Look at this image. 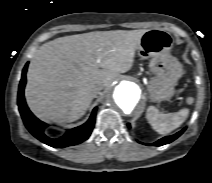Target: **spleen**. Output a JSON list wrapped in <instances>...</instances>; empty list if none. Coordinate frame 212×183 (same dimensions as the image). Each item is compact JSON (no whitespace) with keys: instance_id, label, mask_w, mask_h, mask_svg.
Instances as JSON below:
<instances>
[{"instance_id":"3e777b00","label":"spleen","mask_w":212,"mask_h":183,"mask_svg":"<svg viewBox=\"0 0 212 183\" xmlns=\"http://www.w3.org/2000/svg\"><path fill=\"white\" fill-rule=\"evenodd\" d=\"M189 115V109L184 108L175 113L162 114L154 106H149L146 118L152 128L159 134H167L180 127Z\"/></svg>"}]
</instances>
